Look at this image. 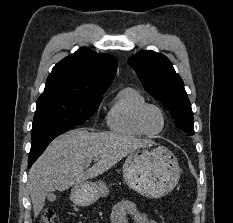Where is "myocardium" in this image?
I'll use <instances>...</instances> for the list:
<instances>
[{
  "label": "myocardium",
  "instance_id": "obj_1",
  "mask_svg": "<svg viewBox=\"0 0 233 223\" xmlns=\"http://www.w3.org/2000/svg\"><path fill=\"white\" fill-rule=\"evenodd\" d=\"M150 108H156L158 109L162 115H163V118H164V127L162 129V131H160L159 133H151L147 127H146V124H145V113L148 109ZM136 124L138 126V128L147 136H150V137H156V136H160V135H163L167 128H168V125H169V118H168V114L166 112V110L159 104H156V103H144L143 105L140 106V108L138 109L137 113H136Z\"/></svg>",
  "mask_w": 233,
  "mask_h": 223
}]
</instances>
